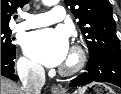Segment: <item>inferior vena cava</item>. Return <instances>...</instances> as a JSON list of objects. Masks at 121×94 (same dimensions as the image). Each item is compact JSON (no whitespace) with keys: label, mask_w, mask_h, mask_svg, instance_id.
Returning <instances> with one entry per match:
<instances>
[{"label":"inferior vena cava","mask_w":121,"mask_h":94,"mask_svg":"<svg viewBox=\"0 0 121 94\" xmlns=\"http://www.w3.org/2000/svg\"><path fill=\"white\" fill-rule=\"evenodd\" d=\"M22 82L21 94H41L45 84V71L40 65L24 62L17 68Z\"/></svg>","instance_id":"obj_1"}]
</instances>
